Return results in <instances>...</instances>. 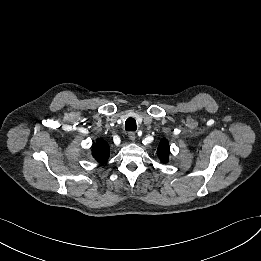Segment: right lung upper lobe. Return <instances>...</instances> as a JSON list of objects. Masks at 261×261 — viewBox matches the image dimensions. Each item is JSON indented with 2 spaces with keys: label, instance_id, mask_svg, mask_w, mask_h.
Segmentation results:
<instances>
[{
  "label": "right lung upper lobe",
  "instance_id": "obj_1",
  "mask_svg": "<svg viewBox=\"0 0 261 261\" xmlns=\"http://www.w3.org/2000/svg\"><path fill=\"white\" fill-rule=\"evenodd\" d=\"M92 154L98 162H105L109 158V145L103 139H97L92 148Z\"/></svg>",
  "mask_w": 261,
  "mask_h": 261
}]
</instances>
